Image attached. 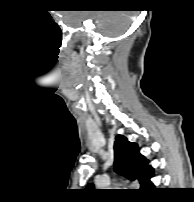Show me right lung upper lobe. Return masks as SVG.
I'll use <instances>...</instances> for the list:
<instances>
[{"label":"right lung upper lobe","mask_w":194,"mask_h":202,"mask_svg":"<svg viewBox=\"0 0 194 202\" xmlns=\"http://www.w3.org/2000/svg\"><path fill=\"white\" fill-rule=\"evenodd\" d=\"M115 170L130 179L138 180L141 189L153 188L150 178L154 170L148 165L149 161L140 153L136 143L129 142L126 137L118 135L114 144Z\"/></svg>","instance_id":"cb5924a9"}]
</instances>
